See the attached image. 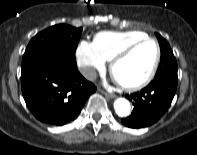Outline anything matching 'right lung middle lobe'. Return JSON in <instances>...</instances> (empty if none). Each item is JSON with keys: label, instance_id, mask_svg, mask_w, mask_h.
<instances>
[{"label": "right lung middle lobe", "instance_id": "obj_1", "mask_svg": "<svg viewBox=\"0 0 197 155\" xmlns=\"http://www.w3.org/2000/svg\"><path fill=\"white\" fill-rule=\"evenodd\" d=\"M82 28L59 24L51 26L31 39L22 59L21 71H25L40 59L50 55L75 58V51Z\"/></svg>", "mask_w": 197, "mask_h": 155}]
</instances>
